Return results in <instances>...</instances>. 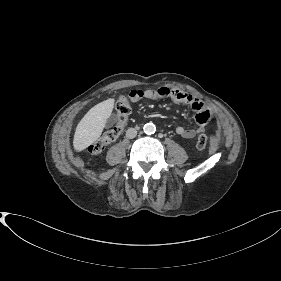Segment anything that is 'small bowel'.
<instances>
[{"label":"small bowel","mask_w":281,"mask_h":281,"mask_svg":"<svg viewBox=\"0 0 281 281\" xmlns=\"http://www.w3.org/2000/svg\"><path fill=\"white\" fill-rule=\"evenodd\" d=\"M128 98L131 102H138L142 99H170L177 105L188 106L195 114L194 120L197 128L177 127L176 133L185 139H192L204 132L206 124L214 116V112L200 99L179 89L160 87L156 89L132 90L129 92Z\"/></svg>","instance_id":"c3829d8e"}]
</instances>
